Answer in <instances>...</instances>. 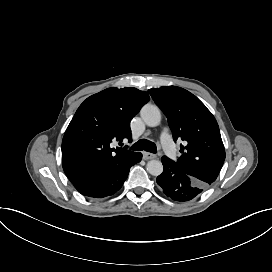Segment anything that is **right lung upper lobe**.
<instances>
[{
	"mask_svg": "<svg viewBox=\"0 0 272 272\" xmlns=\"http://www.w3.org/2000/svg\"><path fill=\"white\" fill-rule=\"evenodd\" d=\"M149 99L147 92L136 88H108L80 105L62 140V166L70 181L134 153L110 144L132 139L130 121Z\"/></svg>",
	"mask_w": 272,
	"mask_h": 272,
	"instance_id": "1",
	"label": "right lung upper lobe"
}]
</instances>
